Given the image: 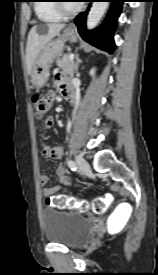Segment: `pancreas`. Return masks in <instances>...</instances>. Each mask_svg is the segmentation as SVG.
<instances>
[{
    "mask_svg": "<svg viewBox=\"0 0 158 275\" xmlns=\"http://www.w3.org/2000/svg\"><path fill=\"white\" fill-rule=\"evenodd\" d=\"M70 55L71 54H66L62 58L57 59L56 64L63 73L73 76L76 65L73 61L70 60Z\"/></svg>",
    "mask_w": 158,
    "mask_h": 275,
    "instance_id": "1",
    "label": "pancreas"
}]
</instances>
